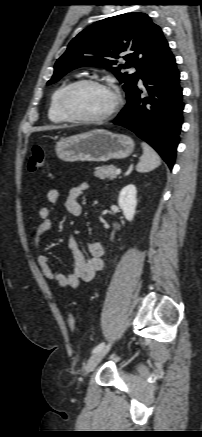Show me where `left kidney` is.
<instances>
[{"instance_id": "obj_1", "label": "left kidney", "mask_w": 202, "mask_h": 437, "mask_svg": "<svg viewBox=\"0 0 202 437\" xmlns=\"http://www.w3.org/2000/svg\"><path fill=\"white\" fill-rule=\"evenodd\" d=\"M137 190L135 185L129 184L119 193L118 204L126 220L132 221L137 206Z\"/></svg>"}]
</instances>
